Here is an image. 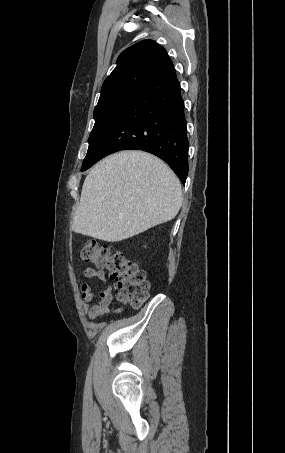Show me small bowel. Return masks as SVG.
Instances as JSON below:
<instances>
[{
  "instance_id": "small-bowel-1",
  "label": "small bowel",
  "mask_w": 285,
  "mask_h": 453,
  "mask_svg": "<svg viewBox=\"0 0 285 453\" xmlns=\"http://www.w3.org/2000/svg\"><path fill=\"white\" fill-rule=\"evenodd\" d=\"M83 273L87 278L96 279L105 283V288L97 293H94L91 286L86 282L81 283L79 286L82 297L81 307L91 319H95L107 313L112 300V287L107 282L105 273L102 270L88 267ZM92 302L94 304L90 306Z\"/></svg>"
}]
</instances>
